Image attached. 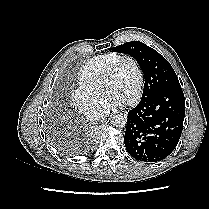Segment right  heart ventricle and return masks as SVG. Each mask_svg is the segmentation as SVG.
Masks as SVG:
<instances>
[{
  "mask_svg": "<svg viewBox=\"0 0 209 209\" xmlns=\"http://www.w3.org/2000/svg\"><path fill=\"white\" fill-rule=\"evenodd\" d=\"M118 55V53H106L88 60L77 73L80 87L100 94L105 70Z\"/></svg>",
  "mask_w": 209,
  "mask_h": 209,
  "instance_id": "e07e8e85",
  "label": "right heart ventricle"
}]
</instances>
